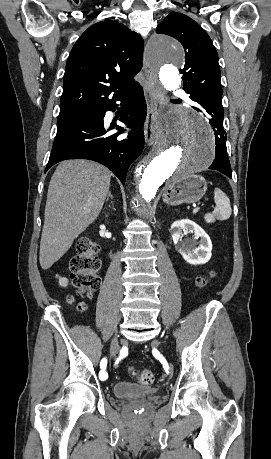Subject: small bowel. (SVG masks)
<instances>
[{"label":"small bowel","instance_id":"c3829d8e","mask_svg":"<svg viewBox=\"0 0 271 459\" xmlns=\"http://www.w3.org/2000/svg\"><path fill=\"white\" fill-rule=\"evenodd\" d=\"M58 280H59V282H60V284L62 286H66L67 285V279L66 278L58 276Z\"/></svg>","mask_w":271,"mask_h":459}]
</instances>
